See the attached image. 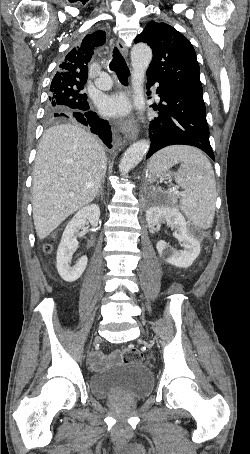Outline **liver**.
<instances>
[{
	"mask_svg": "<svg viewBox=\"0 0 250 454\" xmlns=\"http://www.w3.org/2000/svg\"><path fill=\"white\" fill-rule=\"evenodd\" d=\"M106 169L104 148L83 128L61 124L44 132L35 159L32 195L40 240L96 197Z\"/></svg>",
	"mask_w": 250,
	"mask_h": 454,
	"instance_id": "liver-1",
	"label": "liver"
}]
</instances>
